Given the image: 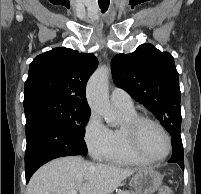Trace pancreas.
I'll return each mask as SVG.
<instances>
[{"mask_svg":"<svg viewBox=\"0 0 201 194\" xmlns=\"http://www.w3.org/2000/svg\"><path fill=\"white\" fill-rule=\"evenodd\" d=\"M121 194H136V193L132 191H123Z\"/></svg>","mask_w":201,"mask_h":194,"instance_id":"obj_1","label":"pancreas"}]
</instances>
